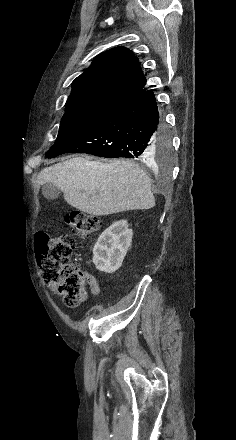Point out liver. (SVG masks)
Wrapping results in <instances>:
<instances>
[{"mask_svg": "<svg viewBox=\"0 0 236 440\" xmlns=\"http://www.w3.org/2000/svg\"><path fill=\"white\" fill-rule=\"evenodd\" d=\"M40 185L53 183L72 207L90 215L103 216L155 206L151 181L134 162L109 163L83 157L44 168L37 176Z\"/></svg>", "mask_w": 236, "mask_h": 440, "instance_id": "liver-1", "label": "liver"}]
</instances>
